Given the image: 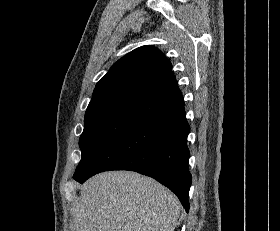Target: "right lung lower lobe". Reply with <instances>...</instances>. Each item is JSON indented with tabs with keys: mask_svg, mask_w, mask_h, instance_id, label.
Listing matches in <instances>:
<instances>
[{
	"mask_svg": "<svg viewBox=\"0 0 280 231\" xmlns=\"http://www.w3.org/2000/svg\"><path fill=\"white\" fill-rule=\"evenodd\" d=\"M189 131L184 104L157 113L117 136L73 179L83 183L103 171H136L168 187L188 212Z\"/></svg>",
	"mask_w": 280,
	"mask_h": 231,
	"instance_id": "obj_1",
	"label": "right lung lower lobe"
}]
</instances>
